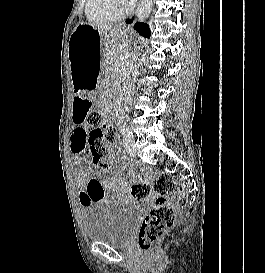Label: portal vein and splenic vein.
<instances>
[{
    "instance_id": "1",
    "label": "portal vein and splenic vein",
    "mask_w": 265,
    "mask_h": 273,
    "mask_svg": "<svg viewBox=\"0 0 265 273\" xmlns=\"http://www.w3.org/2000/svg\"><path fill=\"white\" fill-rule=\"evenodd\" d=\"M128 56H129V54L126 53V54L122 57V59H125V58H127Z\"/></svg>"
}]
</instances>
